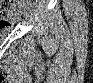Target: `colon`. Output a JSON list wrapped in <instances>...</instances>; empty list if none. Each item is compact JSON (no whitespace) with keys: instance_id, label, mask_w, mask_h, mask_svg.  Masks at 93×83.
I'll use <instances>...</instances> for the list:
<instances>
[{"instance_id":"1","label":"colon","mask_w":93,"mask_h":83,"mask_svg":"<svg viewBox=\"0 0 93 83\" xmlns=\"http://www.w3.org/2000/svg\"><path fill=\"white\" fill-rule=\"evenodd\" d=\"M15 1H2V6H1V19L3 21H12L13 19L11 16L16 13L15 10L8 8V4H13Z\"/></svg>"}]
</instances>
